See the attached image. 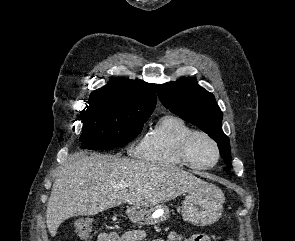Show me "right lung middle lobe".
<instances>
[{"label":"right lung middle lobe","mask_w":295,"mask_h":241,"mask_svg":"<svg viewBox=\"0 0 295 241\" xmlns=\"http://www.w3.org/2000/svg\"><path fill=\"white\" fill-rule=\"evenodd\" d=\"M151 113L126 105L106 95H90L81 112L83 132L80 141L86 149L120 147L134 139Z\"/></svg>","instance_id":"obj_1"}]
</instances>
